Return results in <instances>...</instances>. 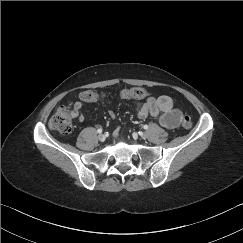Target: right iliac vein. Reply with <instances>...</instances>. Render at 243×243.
<instances>
[{
    "instance_id": "1",
    "label": "right iliac vein",
    "mask_w": 243,
    "mask_h": 243,
    "mask_svg": "<svg viewBox=\"0 0 243 243\" xmlns=\"http://www.w3.org/2000/svg\"><path fill=\"white\" fill-rule=\"evenodd\" d=\"M98 139H99L100 141H104V140H105V136H104L103 134H99V135H98Z\"/></svg>"
}]
</instances>
